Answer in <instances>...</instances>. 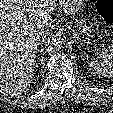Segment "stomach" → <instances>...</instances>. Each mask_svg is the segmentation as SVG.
Here are the masks:
<instances>
[{"label": "stomach", "instance_id": "0dacf381", "mask_svg": "<svg viewBox=\"0 0 113 113\" xmlns=\"http://www.w3.org/2000/svg\"><path fill=\"white\" fill-rule=\"evenodd\" d=\"M59 3L66 15L75 20L79 33L81 35L90 36L91 28L83 25L84 21L82 19H78L81 14L83 0H59Z\"/></svg>", "mask_w": 113, "mask_h": 113}]
</instances>
